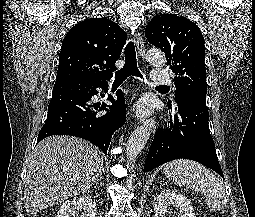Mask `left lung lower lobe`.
<instances>
[{"label":"left lung lower lobe","instance_id":"obj_1","mask_svg":"<svg viewBox=\"0 0 255 217\" xmlns=\"http://www.w3.org/2000/svg\"><path fill=\"white\" fill-rule=\"evenodd\" d=\"M168 127L157 130L149 149L144 172L174 159L197 161L223 179L215 144L209 131V113L206 104L187 99L176 105L175 113L169 107Z\"/></svg>","mask_w":255,"mask_h":217}]
</instances>
